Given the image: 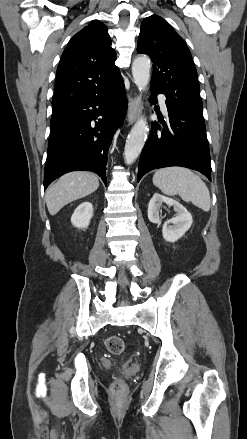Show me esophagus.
Returning <instances> with one entry per match:
<instances>
[{
  "label": "esophagus",
  "instance_id": "obj_1",
  "mask_svg": "<svg viewBox=\"0 0 247 439\" xmlns=\"http://www.w3.org/2000/svg\"><path fill=\"white\" fill-rule=\"evenodd\" d=\"M141 96L139 94H136L135 96L129 97V104H128V113H127V121L129 124H133L136 119L139 117L141 113Z\"/></svg>",
  "mask_w": 247,
  "mask_h": 439
}]
</instances>
